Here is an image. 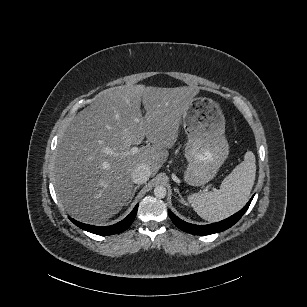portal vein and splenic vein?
Instances as JSON below:
<instances>
[{
	"label": "portal vein and splenic vein",
	"instance_id": "portal-vein-and-splenic-vein-1",
	"mask_svg": "<svg viewBox=\"0 0 307 307\" xmlns=\"http://www.w3.org/2000/svg\"><path fill=\"white\" fill-rule=\"evenodd\" d=\"M137 152H138L137 147H131L130 149H127L125 151H120V152L114 151V150L109 149V148L106 149L107 154H109L113 157H122V158L130 157L132 155H135ZM212 191L216 192L217 189L215 187H213Z\"/></svg>",
	"mask_w": 307,
	"mask_h": 307
}]
</instances>
